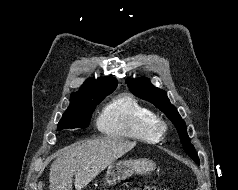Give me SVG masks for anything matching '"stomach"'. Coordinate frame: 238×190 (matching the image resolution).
<instances>
[{"instance_id":"0dacf381","label":"stomach","mask_w":238,"mask_h":190,"mask_svg":"<svg viewBox=\"0 0 238 190\" xmlns=\"http://www.w3.org/2000/svg\"><path fill=\"white\" fill-rule=\"evenodd\" d=\"M154 169L155 164L149 159L120 160L108 166L105 181L109 185H115L134 173L148 174Z\"/></svg>"}]
</instances>
